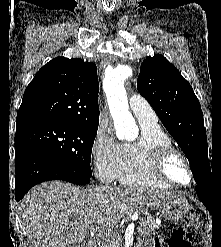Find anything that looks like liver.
<instances>
[{
    "label": "liver",
    "instance_id": "6515ba94",
    "mask_svg": "<svg viewBox=\"0 0 221 247\" xmlns=\"http://www.w3.org/2000/svg\"><path fill=\"white\" fill-rule=\"evenodd\" d=\"M174 196L169 191L139 187L80 189L56 180L32 188L19 212L34 247H76L88 230L108 231L127 214Z\"/></svg>",
    "mask_w": 221,
    "mask_h": 247
}]
</instances>
